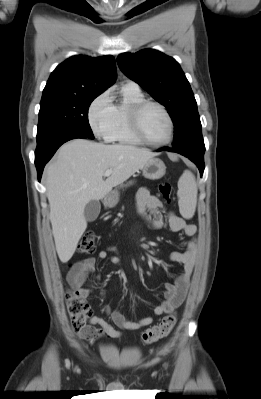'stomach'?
<instances>
[{"mask_svg": "<svg viewBox=\"0 0 261 399\" xmlns=\"http://www.w3.org/2000/svg\"><path fill=\"white\" fill-rule=\"evenodd\" d=\"M142 173L147 179H160L166 173V166L161 159L153 157L142 167ZM118 202L119 192L117 190L110 192L104 199V205L108 208L115 207Z\"/></svg>", "mask_w": 261, "mask_h": 399, "instance_id": "0dacf381", "label": "stomach"}]
</instances>
